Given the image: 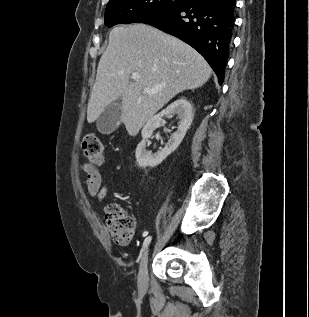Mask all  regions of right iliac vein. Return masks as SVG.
Masks as SVG:
<instances>
[{
    "instance_id": "63e3f726",
    "label": "right iliac vein",
    "mask_w": 309,
    "mask_h": 317,
    "mask_svg": "<svg viewBox=\"0 0 309 317\" xmlns=\"http://www.w3.org/2000/svg\"><path fill=\"white\" fill-rule=\"evenodd\" d=\"M149 258V248L146 247L141 255L138 273V286L140 290H146L148 286L147 264Z\"/></svg>"
}]
</instances>
